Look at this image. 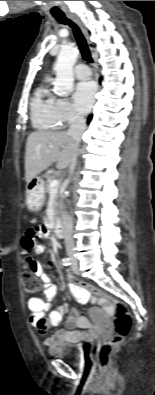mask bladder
<instances>
[{"label":"bladder","mask_w":155,"mask_h":395,"mask_svg":"<svg viewBox=\"0 0 155 395\" xmlns=\"http://www.w3.org/2000/svg\"><path fill=\"white\" fill-rule=\"evenodd\" d=\"M53 354L70 362L78 363L83 357V350L77 345L62 343L53 350Z\"/></svg>","instance_id":"1"}]
</instances>
